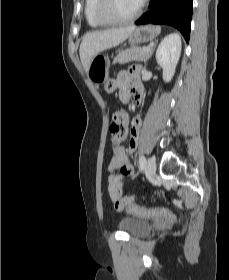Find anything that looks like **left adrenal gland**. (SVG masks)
<instances>
[{"label": "left adrenal gland", "mask_w": 229, "mask_h": 280, "mask_svg": "<svg viewBox=\"0 0 229 280\" xmlns=\"http://www.w3.org/2000/svg\"><path fill=\"white\" fill-rule=\"evenodd\" d=\"M155 47L152 48L151 52H150V56L153 54ZM146 67V64L144 66V68Z\"/></svg>", "instance_id": "left-adrenal-gland-1"}]
</instances>
